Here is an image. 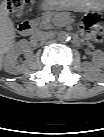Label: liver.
<instances>
[{
	"mask_svg": "<svg viewBox=\"0 0 104 137\" xmlns=\"http://www.w3.org/2000/svg\"><path fill=\"white\" fill-rule=\"evenodd\" d=\"M15 37L14 25L9 18L7 4L4 2L0 6V51L2 56L13 47ZM2 61L3 58L1 59Z\"/></svg>",
	"mask_w": 104,
	"mask_h": 137,
	"instance_id": "obj_1",
	"label": "liver"
}]
</instances>
